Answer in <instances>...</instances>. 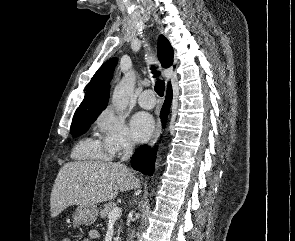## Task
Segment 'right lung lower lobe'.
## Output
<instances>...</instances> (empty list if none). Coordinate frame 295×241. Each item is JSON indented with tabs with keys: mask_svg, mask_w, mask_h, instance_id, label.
Listing matches in <instances>:
<instances>
[{
	"mask_svg": "<svg viewBox=\"0 0 295 241\" xmlns=\"http://www.w3.org/2000/svg\"><path fill=\"white\" fill-rule=\"evenodd\" d=\"M172 100V88L168 86L166 100L161 110V120L163 125L166 123V119L169 113L170 102ZM156 157V150L144 145L139 148L131 159V166L133 169L140 171L144 175H151L154 170V160Z\"/></svg>",
	"mask_w": 295,
	"mask_h": 241,
	"instance_id": "1",
	"label": "right lung lower lobe"
}]
</instances>
